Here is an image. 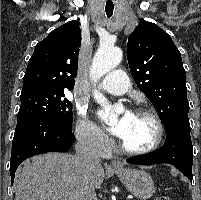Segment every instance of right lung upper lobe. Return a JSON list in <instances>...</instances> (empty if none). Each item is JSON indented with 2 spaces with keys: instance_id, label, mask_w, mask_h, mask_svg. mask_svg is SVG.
I'll return each mask as SVG.
<instances>
[{
  "instance_id": "right-lung-upper-lobe-1",
  "label": "right lung upper lobe",
  "mask_w": 201,
  "mask_h": 200,
  "mask_svg": "<svg viewBox=\"0 0 201 200\" xmlns=\"http://www.w3.org/2000/svg\"><path fill=\"white\" fill-rule=\"evenodd\" d=\"M80 46L78 21H69L53 30L35 46L23 78L22 92L72 90Z\"/></svg>"
}]
</instances>
